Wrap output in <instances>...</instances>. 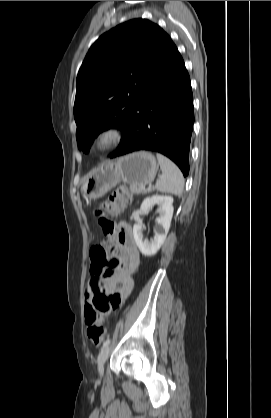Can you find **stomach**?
I'll list each match as a JSON object with an SVG mask.
<instances>
[{
	"label": "stomach",
	"instance_id": "1",
	"mask_svg": "<svg viewBox=\"0 0 271 418\" xmlns=\"http://www.w3.org/2000/svg\"><path fill=\"white\" fill-rule=\"evenodd\" d=\"M158 170L155 157L145 151L135 152L98 166L82 184L87 199L96 200L123 181L144 186L151 183Z\"/></svg>",
	"mask_w": 271,
	"mask_h": 418
}]
</instances>
